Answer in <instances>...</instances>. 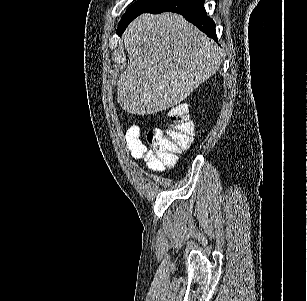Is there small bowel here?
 I'll use <instances>...</instances> for the list:
<instances>
[{
	"label": "small bowel",
	"mask_w": 307,
	"mask_h": 301,
	"mask_svg": "<svg viewBox=\"0 0 307 301\" xmlns=\"http://www.w3.org/2000/svg\"><path fill=\"white\" fill-rule=\"evenodd\" d=\"M124 140L132 157L143 159L148 170L152 172L165 170V166L160 159L141 140V129L138 125H132L126 130Z\"/></svg>",
	"instance_id": "c3829d8e"
}]
</instances>
